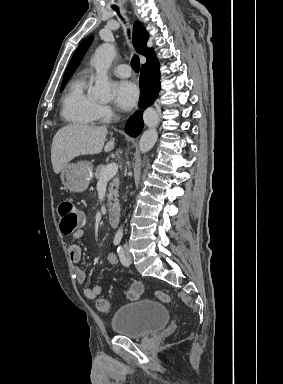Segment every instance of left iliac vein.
<instances>
[{
    "mask_svg": "<svg viewBox=\"0 0 283 384\" xmlns=\"http://www.w3.org/2000/svg\"><path fill=\"white\" fill-rule=\"evenodd\" d=\"M125 254H126V259H127V265H130V263L132 262V256H131V254L127 248L125 249Z\"/></svg>",
    "mask_w": 283,
    "mask_h": 384,
    "instance_id": "1",
    "label": "left iliac vein"
}]
</instances>
